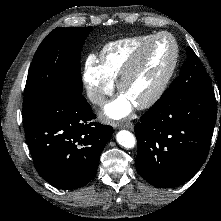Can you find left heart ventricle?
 Here are the masks:
<instances>
[{
  "mask_svg": "<svg viewBox=\"0 0 221 221\" xmlns=\"http://www.w3.org/2000/svg\"><path fill=\"white\" fill-rule=\"evenodd\" d=\"M173 56L169 38L162 37L148 49L140 71L124 87L123 94L138 104L150 96L166 74Z\"/></svg>",
  "mask_w": 221,
  "mask_h": 221,
  "instance_id": "left-heart-ventricle-1",
  "label": "left heart ventricle"
}]
</instances>
